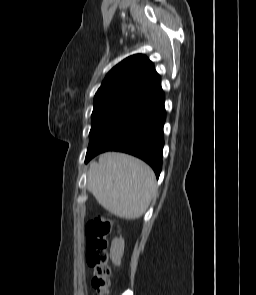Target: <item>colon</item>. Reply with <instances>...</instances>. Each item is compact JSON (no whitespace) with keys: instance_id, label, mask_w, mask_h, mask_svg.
Instances as JSON below:
<instances>
[{"instance_id":"1","label":"colon","mask_w":256,"mask_h":295,"mask_svg":"<svg viewBox=\"0 0 256 295\" xmlns=\"http://www.w3.org/2000/svg\"><path fill=\"white\" fill-rule=\"evenodd\" d=\"M113 229V219L98 215L86 224V261L93 268V295H109V236Z\"/></svg>"}]
</instances>
